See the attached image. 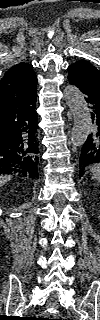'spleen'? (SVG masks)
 I'll return each instance as SVG.
<instances>
[{
	"instance_id": "3e777b00",
	"label": "spleen",
	"mask_w": 100,
	"mask_h": 320,
	"mask_svg": "<svg viewBox=\"0 0 100 320\" xmlns=\"http://www.w3.org/2000/svg\"><path fill=\"white\" fill-rule=\"evenodd\" d=\"M90 172L92 173V179H94V180L100 179V165L99 164L91 165Z\"/></svg>"
}]
</instances>
